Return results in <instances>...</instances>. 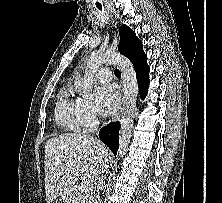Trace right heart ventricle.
<instances>
[{"mask_svg":"<svg viewBox=\"0 0 222 203\" xmlns=\"http://www.w3.org/2000/svg\"><path fill=\"white\" fill-rule=\"evenodd\" d=\"M56 122L65 130L78 132L81 124L77 115L75 101H72L68 90L60 92L55 108Z\"/></svg>","mask_w":222,"mask_h":203,"instance_id":"1","label":"right heart ventricle"}]
</instances>
